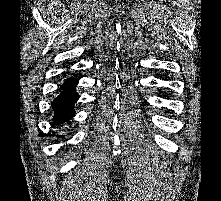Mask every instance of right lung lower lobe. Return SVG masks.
<instances>
[{"mask_svg":"<svg viewBox=\"0 0 221 201\" xmlns=\"http://www.w3.org/2000/svg\"><path fill=\"white\" fill-rule=\"evenodd\" d=\"M77 83V80L74 78L65 80L62 85V92L52 102V108L55 112L53 117L54 124L60 125L75 115L74 104L79 98L75 91Z\"/></svg>","mask_w":221,"mask_h":201,"instance_id":"98d812e1","label":"right lung lower lobe"}]
</instances>
